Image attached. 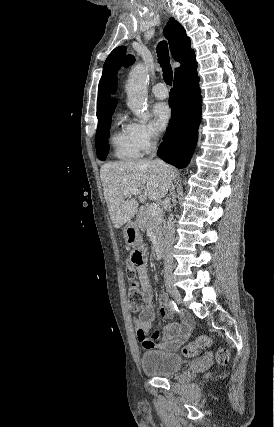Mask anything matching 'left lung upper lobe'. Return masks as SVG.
Segmentation results:
<instances>
[{"mask_svg":"<svg viewBox=\"0 0 274 427\" xmlns=\"http://www.w3.org/2000/svg\"><path fill=\"white\" fill-rule=\"evenodd\" d=\"M114 91L116 90V81H114Z\"/></svg>","mask_w":274,"mask_h":427,"instance_id":"5c2ea615","label":"left lung upper lobe"}]
</instances>
